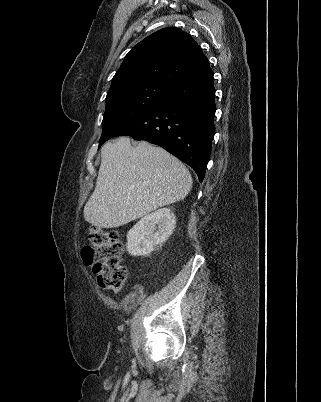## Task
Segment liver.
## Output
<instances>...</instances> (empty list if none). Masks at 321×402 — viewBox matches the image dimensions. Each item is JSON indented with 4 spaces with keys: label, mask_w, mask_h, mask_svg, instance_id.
Returning <instances> with one entry per match:
<instances>
[{
    "label": "liver",
    "mask_w": 321,
    "mask_h": 402,
    "mask_svg": "<svg viewBox=\"0 0 321 402\" xmlns=\"http://www.w3.org/2000/svg\"><path fill=\"white\" fill-rule=\"evenodd\" d=\"M95 190L84 206V218L99 228H117L184 199L192 188L185 165L146 141L129 137L101 149Z\"/></svg>",
    "instance_id": "obj_1"
}]
</instances>
